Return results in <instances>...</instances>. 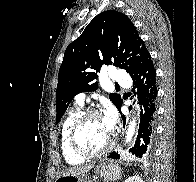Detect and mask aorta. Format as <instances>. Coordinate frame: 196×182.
I'll use <instances>...</instances> for the list:
<instances>
[{"label":"aorta","mask_w":196,"mask_h":182,"mask_svg":"<svg viewBox=\"0 0 196 182\" xmlns=\"http://www.w3.org/2000/svg\"><path fill=\"white\" fill-rule=\"evenodd\" d=\"M136 119L133 118L132 121H130L129 125H128V129L126 131V136H125V142L129 143L132 140V137L135 134L136 131Z\"/></svg>","instance_id":"aorta-1"}]
</instances>
